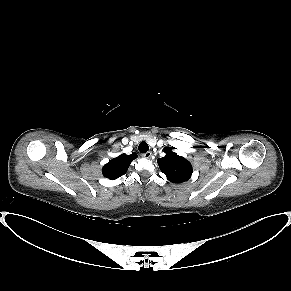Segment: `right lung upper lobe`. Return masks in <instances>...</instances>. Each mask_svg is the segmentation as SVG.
Masks as SVG:
<instances>
[{"instance_id":"right-lung-upper-lobe-1","label":"right lung upper lobe","mask_w":291,"mask_h":291,"mask_svg":"<svg viewBox=\"0 0 291 291\" xmlns=\"http://www.w3.org/2000/svg\"><path fill=\"white\" fill-rule=\"evenodd\" d=\"M136 158L137 155L132 153L131 155L122 154L110 160L102 169L104 177L110 180H115L124 175L131 162Z\"/></svg>"}]
</instances>
